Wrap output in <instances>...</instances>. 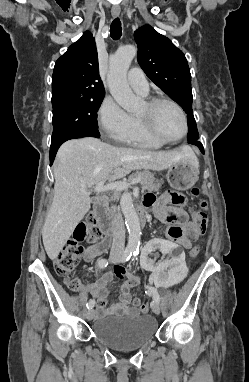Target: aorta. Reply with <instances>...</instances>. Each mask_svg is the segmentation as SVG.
Masks as SVG:
<instances>
[{"instance_id": "762f6f07", "label": "aorta", "mask_w": 249, "mask_h": 382, "mask_svg": "<svg viewBox=\"0 0 249 382\" xmlns=\"http://www.w3.org/2000/svg\"><path fill=\"white\" fill-rule=\"evenodd\" d=\"M136 53L137 49L133 45L120 47L110 58L109 72L107 75L108 86L112 97L128 112L136 111L139 106V102L127 82V71ZM120 204L129 233L127 250L135 255L139 252L141 239L139 217L130 194H124Z\"/></svg>"}]
</instances>
